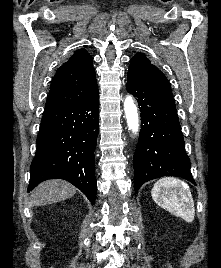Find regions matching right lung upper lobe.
I'll list each match as a JSON object with an SVG mask.
<instances>
[{"mask_svg": "<svg viewBox=\"0 0 221 268\" xmlns=\"http://www.w3.org/2000/svg\"><path fill=\"white\" fill-rule=\"evenodd\" d=\"M93 58L79 49L64 63L52 79L45 109H54L82 101L98 91Z\"/></svg>", "mask_w": 221, "mask_h": 268, "instance_id": "right-lung-upper-lobe-1", "label": "right lung upper lobe"}]
</instances>
